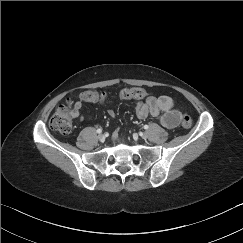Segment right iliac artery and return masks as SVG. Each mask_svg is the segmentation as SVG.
I'll use <instances>...</instances> for the list:
<instances>
[{"label": "right iliac artery", "instance_id": "82829eb1", "mask_svg": "<svg viewBox=\"0 0 243 243\" xmlns=\"http://www.w3.org/2000/svg\"><path fill=\"white\" fill-rule=\"evenodd\" d=\"M96 132L100 134L102 132V129H97Z\"/></svg>", "mask_w": 243, "mask_h": 243}]
</instances>
